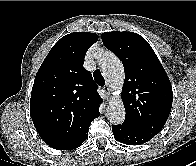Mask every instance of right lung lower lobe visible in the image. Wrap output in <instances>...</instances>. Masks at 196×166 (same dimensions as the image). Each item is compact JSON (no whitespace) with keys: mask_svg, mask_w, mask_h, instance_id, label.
I'll return each instance as SVG.
<instances>
[{"mask_svg":"<svg viewBox=\"0 0 196 166\" xmlns=\"http://www.w3.org/2000/svg\"><path fill=\"white\" fill-rule=\"evenodd\" d=\"M84 141H81V142L55 141V142H49L47 144L50 147L54 148V149H58V150H71V149L77 148L80 145H82V142H84Z\"/></svg>","mask_w":196,"mask_h":166,"instance_id":"98d812e1","label":"right lung lower lobe"}]
</instances>
